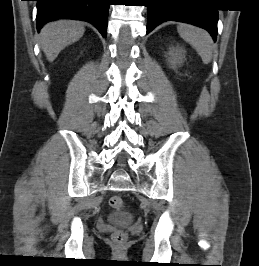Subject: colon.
Wrapping results in <instances>:
<instances>
[{
	"label": "colon",
	"mask_w": 259,
	"mask_h": 266,
	"mask_svg": "<svg viewBox=\"0 0 259 266\" xmlns=\"http://www.w3.org/2000/svg\"><path fill=\"white\" fill-rule=\"evenodd\" d=\"M109 204L112 208L116 209V210H121L124 208V201L123 199L118 196H112L109 200ZM113 240L114 242H116L117 244H124L125 242H127L128 240V236L125 232L123 231H118L113 235Z\"/></svg>",
	"instance_id": "colon-1"
}]
</instances>
